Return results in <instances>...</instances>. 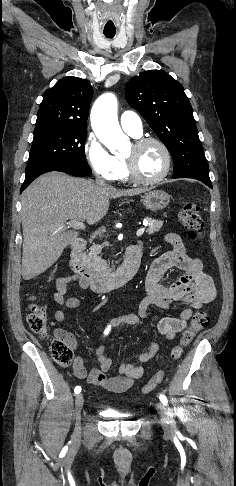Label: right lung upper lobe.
<instances>
[{
    "instance_id": "1",
    "label": "right lung upper lobe",
    "mask_w": 236,
    "mask_h": 486,
    "mask_svg": "<svg viewBox=\"0 0 236 486\" xmlns=\"http://www.w3.org/2000/svg\"><path fill=\"white\" fill-rule=\"evenodd\" d=\"M93 88L78 77L60 79L43 94L35 128L60 127L86 130Z\"/></svg>"
}]
</instances>
